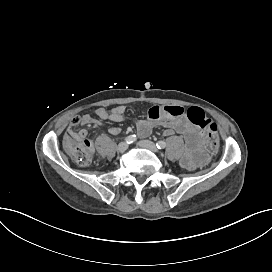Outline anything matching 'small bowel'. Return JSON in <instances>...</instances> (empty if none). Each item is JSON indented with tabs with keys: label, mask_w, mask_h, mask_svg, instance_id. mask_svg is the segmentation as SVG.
<instances>
[{
	"label": "small bowel",
	"mask_w": 272,
	"mask_h": 272,
	"mask_svg": "<svg viewBox=\"0 0 272 272\" xmlns=\"http://www.w3.org/2000/svg\"><path fill=\"white\" fill-rule=\"evenodd\" d=\"M93 115L86 113L72 119L70 126L67 129V134L64 136V142L70 137L79 139L81 135L87 133L85 130L74 132V127L77 125L87 126H101L103 120L113 122L125 121V107L122 105L116 106L112 109H105L103 107H96L92 110ZM188 112L179 105H169L165 107L154 106L148 111L146 119H138L135 121L138 133L141 137L148 136L152 129L159 125L165 128L164 134L166 136L178 133L184 139V151L181 157V165L187 170H195L197 167L206 162L207 156L199 148L200 135L196 129L191 125L188 118ZM121 129L117 126L109 128V133L118 135Z\"/></svg>",
	"instance_id": "small-bowel-1"
}]
</instances>
